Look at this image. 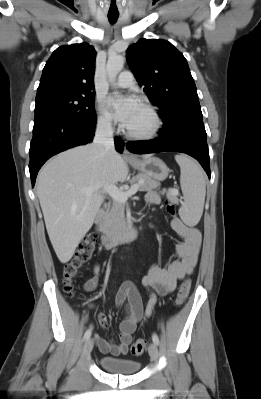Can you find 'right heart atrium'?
<instances>
[{"mask_svg":"<svg viewBox=\"0 0 261 399\" xmlns=\"http://www.w3.org/2000/svg\"><path fill=\"white\" fill-rule=\"evenodd\" d=\"M97 126L104 133H111L114 130L112 116L102 105L98 108Z\"/></svg>","mask_w":261,"mask_h":399,"instance_id":"obj_1","label":"right heart atrium"}]
</instances>
